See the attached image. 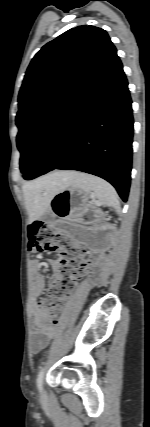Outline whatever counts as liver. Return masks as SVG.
<instances>
[{
	"instance_id": "1",
	"label": "liver",
	"mask_w": 150,
	"mask_h": 427,
	"mask_svg": "<svg viewBox=\"0 0 150 427\" xmlns=\"http://www.w3.org/2000/svg\"><path fill=\"white\" fill-rule=\"evenodd\" d=\"M76 172L57 171L22 186L30 221L40 218L50 208L53 196L71 185Z\"/></svg>"
}]
</instances>
